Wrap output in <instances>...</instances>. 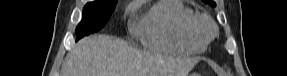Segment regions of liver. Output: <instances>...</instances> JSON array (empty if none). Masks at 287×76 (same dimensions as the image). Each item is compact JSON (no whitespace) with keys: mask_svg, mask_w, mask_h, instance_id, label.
<instances>
[{"mask_svg":"<svg viewBox=\"0 0 287 76\" xmlns=\"http://www.w3.org/2000/svg\"><path fill=\"white\" fill-rule=\"evenodd\" d=\"M198 61L140 52L119 38L93 35L66 55L62 76H186Z\"/></svg>","mask_w":287,"mask_h":76,"instance_id":"obj_1","label":"liver"}]
</instances>
